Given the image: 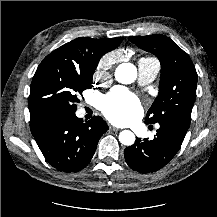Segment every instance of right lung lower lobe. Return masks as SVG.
<instances>
[{"mask_svg":"<svg viewBox=\"0 0 217 217\" xmlns=\"http://www.w3.org/2000/svg\"><path fill=\"white\" fill-rule=\"evenodd\" d=\"M30 129L48 163L69 173L89 164L108 125L100 116L83 122L75 113H54L31 119Z\"/></svg>","mask_w":217,"mask_h":217,"instance_id":"98d812e1","label":"right lung lower lobe"}]
</instances>
